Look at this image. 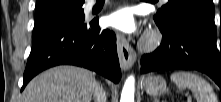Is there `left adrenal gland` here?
<instances>
[{
    "mask_svg": "<svg viewBox=\"0 0 221 102\" xmlns=\"http://www.w3.org/2000/svg\"><path fill=\"white\" fill-rule=\"evenodd\" d=\"M154 102H159V100H158V99H156V100H154Z\"/></svg>",
    "mask_w": 221,
    "mask_h": 102,
    "instance_id": "obj_1",
    "label": "left adrenal gland"
}]
</instances>
